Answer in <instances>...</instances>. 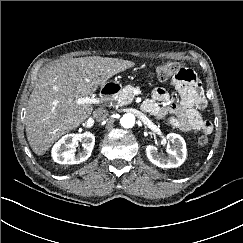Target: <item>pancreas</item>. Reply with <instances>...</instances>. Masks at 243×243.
<instances>
[{
	"label": "pancreas",
	"mask_w": 243,
	"mask_h": 243,
	"mask_svg": "<svg viewBox=\"0 0 243 243\" xmlns=\"http://www.w3.org/2000/svg\"><path fill=\"white\" fill-rule=\"evenodd\" d=\"M134 87L131 85L125 86L118 94L115 96V100L118 106H123L130 104L134 99L133 94Z\"/></svg>",
	"instance_id": "1"
}]
</instances>
